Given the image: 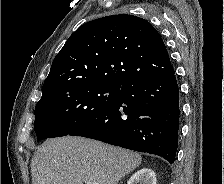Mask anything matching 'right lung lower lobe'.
I'll list each match as a JSON object with an SVG mask.
<instances>
[{
    "mask_svg": "<svg viewBox=\"0 0 224 184\" xmlns=\"http://www.w3.org/2000/svg\"><path fill=\"white\" fill-rule=\"evenodd\" d=\"M179 118V88L173 69L123 85L114 103L69 135L155 154L174 163Z\"/></svg>",
    "mask_w": 224,
    "mask_h": 184,
    "instance_id": "right-lung-lower-lobe-1",
    "label": "right lung lower lobe"
}]
</instances>
